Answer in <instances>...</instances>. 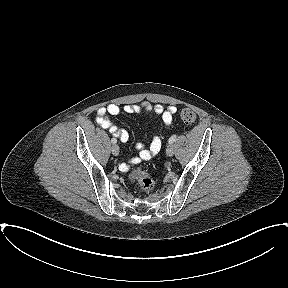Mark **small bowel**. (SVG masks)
Returning <instances> with one entry per match:
<instances>
[{
	"instance_id": "1",
	"label": "small bowel",
	"mask_w": 288,
	"mask_h": 288,
	"mask_svg": "<svg viewBox=\"0 0 288 288\" xmlns=\"http://www.w3.org/2000/svg\"><path fill=\"white\" fill-rule=\"evenodd\" d=\"M127 114L136 115H149L154 114L160 117L166 126H170L173 121V114L176 112V107L169 106L164 108L160 104H152L149 102L142 103L140 105H125L122 109ZM121 108L116 104H110L107 107H102L97 111L96 121L104 129H108L110 133L118 137L121 142L125 143L129 139V134L124 129H118L111 116H116L120 114ZM162 147V140L158 135L151 138L149 146L143 143H138L136 148L138 150V155L131 159L133 164H137L143 160H149L154 155H156ZM120 168L125 170L127 168L126 164H121Z\"/></svg>"
}]
</instances>
